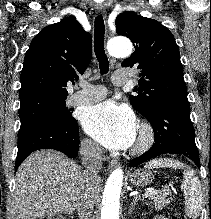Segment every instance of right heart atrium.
Masks as SVG:
<instances>
[{
	"label": "right heart atrium",
	"mask_w": 211,
	"mask_h": 219,
	"mask_svg": "<svg viewBox=\"0 0 211 219\" xmlns=\"http://www.w3.org/2000/svg\"><path fill=\"white\" fill-rule=\"evenodd\" d=\"M81 146L82 149L89 154H97L100 151L99 146L88 138L82 140Z\"/></svg>",
	"instance_id": "d8ad5b80"
}]
</instances>
